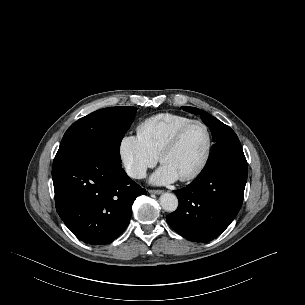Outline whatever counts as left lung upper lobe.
<instances>
[{"mask_svg":"<svg viewBox=\"0 0 305 305\" xmlns=\"http://www.w3.org/2000/svg\"><path fill=\"white\" fill-rule=\"evenodd\" d=\"M182 109L190 113L199 114L202 121L211 130L215 144L207 165L219 160L229 153L242 151L237 135L229 126L225 125L207 112L200 111L198 108L183 106Z\"/></svg>","mask_w":305,"mask_h":305,"instance_id":"obj_1","label":"left lung upper lobe"}]
</instances>
